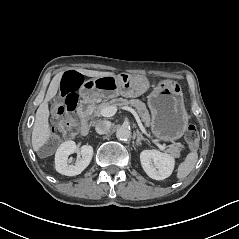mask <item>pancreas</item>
<instances>
[{"instance_id":"1","label":"pancreas","mask_w":239,"mask_h":239,"mask_svg":"<svg viewBox=\"0 0 239 239\" xmlns=\"http://www.w3.org/2000/svg\"><path fill=\"white\" fill-rule=\"evenodd\" d=\"M95 108L94 115H99L100 109L104 107H134L137 109L138 114L142 118L143 122L145 123L146 126H149L150 124V115L145 107L144 103L140 101L139 99H128V98H116L112 99L109 102L104 101L102 104L95 105L93 104ZM182 145L180 143H177L175 146L169 148V152L173 154L174 156L178 154V148L181 147Z\"/></svg>"}]
</instances>
